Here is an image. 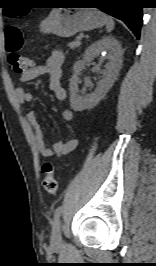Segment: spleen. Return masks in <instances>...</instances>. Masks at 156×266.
<instances>
[{
  "label": "spleen",
  "mask_w": 156,
  "mask_h": 266,
  "mask_svg": "<svg viewBox=\"0 0 156 266\" xmlns=\"http://www.w3.org/2000/svg\"><path fill=\"white\" fill-rule=\"evenodd\" d=\"M105 25L107 32H111L114 29L115 23L111 17L105 15Z\"/></svg>",
  "instance_id": "spleen-1"
}]
</instances>
